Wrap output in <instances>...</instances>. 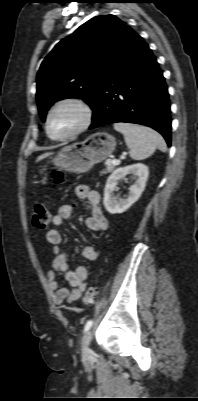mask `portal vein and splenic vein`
<instances>
[{
	"label": "portal vein and splenic vein",
	"mask_w": 198,
	"mask_h": 401,
	"mask_svg": "<svg viewBox=\"0 0 198 401\" xmlns=\"http://www.w3.org/2000/svg\"><path fill=\"white\" fill-rule=\"evenodd\" d=\"M124 158H125L124 156H121V159H124ZM106 163H107V164L113 163V164L117 165V164L120 163V160H115V161H113V160L108 159V160L106 161Z\"/></svg>",
	"instance_id": "1"
}]
</instances>
